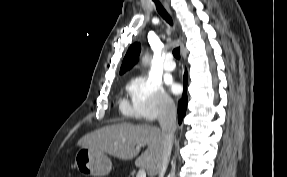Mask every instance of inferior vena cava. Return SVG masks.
<instances>
[{
    "mask_svg": "<svg viewBox=\"0 0 287 177\" xmlns=\"http://www.w3.org/2000/svg\"><path fill=\"white\" fill-rule=\"evenodd\" d=\"M158 121L161 127L163 138L162 162L158 177H164L173 145V138L176 129V107L172 99H165L161 107Z\"/></svg>",
    "mask_w": 287,
    "mask_h": 177,
    "instance_id": "1",
    "label": "inferior vena cava"
}]
</instances>
